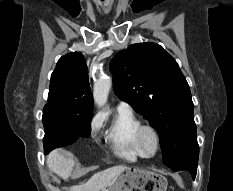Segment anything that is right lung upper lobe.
I'll return each mask as SVG.
<instances>
[{"mask_svg": "<svg viewBox=\"0 0 233 191\" xmlns=\"http://www.w3.org/2000/svg\"><path fill=\"white\" fill-rule=\"evenodd\" d=\"M47 106L73 111H93L88 69L83 55L72 52L62 56L51 75Z\"/></svg>", "mask_w": 233, "mask_h": 191, "instance_id": "cb5924a9", "label": "right lung upper lobe"}]
</instances>
